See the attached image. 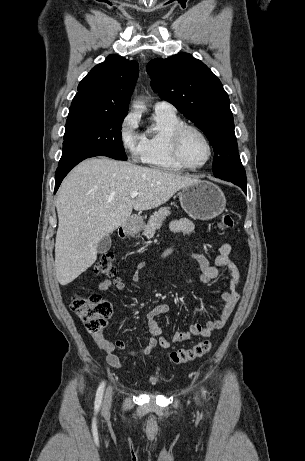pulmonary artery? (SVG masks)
Wrapping results in <instances>:
<instances>
[{
	"label": "pulmonary artery",
	"mask_w": 305,
	"mask_h": 461,
	"mask_svg": "<svg viewBox=\"0 0 305 461\" xmlns=\"http://www.w3.org/2000/svg\"><path fill=\"white\" fill-rule=\"evenodd\" d=\"M154 109L158 112H176L175 107L171 103L163 100L156 101L154 104Z\"/></svg>",
	"instance_id": "obj_1"
}]
</instances>
